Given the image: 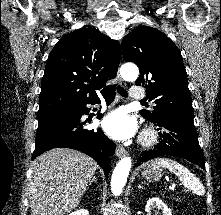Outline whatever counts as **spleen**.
<instances>
[{
	"label": "spleen",
	"instance_id": "spleen-1",
	"mask_svg": "<svg viewBox=\"0 0 221 215\" xmlns=\"http://www.w3.org/2000/svg\"><path fill=\"white\" fill-rule=\"evenodd\" d=\"M151 166H158L169 169L172 173L178 176L182 184L186 188L192 190L194 194L204 195L205 188L203 184L190 170H188L182 164L169 158H158L151 163Z\"/></svg>",
	"mask_w": 221,
	"mask_h": 215
}]
</instances>
